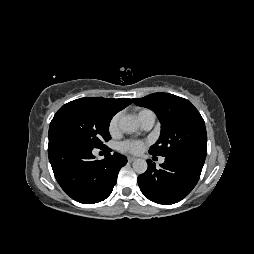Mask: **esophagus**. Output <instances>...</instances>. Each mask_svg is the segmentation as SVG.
Here are the masks:
<instances>
[{
	"label": "esophagus",
	"mask_w": 254,
	"mask_h": 254,
	"mask_svg": "<svg viewBox=\"0 0 254 254\" xmlns=\"http://www.w3.org/2000/svg\"><path fill=\"white\" fill-rule=\"evenodd\" d=\"M135 159H136V158L133 157V156H128V157H127L128 162H132V161H134Z\"/></svg>",
	"instance_id": "esophagus-1"
}]
</instances>
